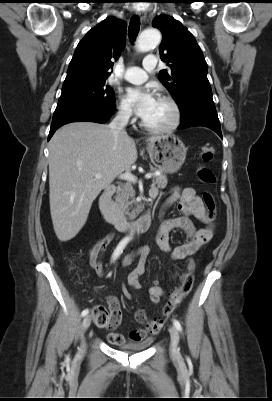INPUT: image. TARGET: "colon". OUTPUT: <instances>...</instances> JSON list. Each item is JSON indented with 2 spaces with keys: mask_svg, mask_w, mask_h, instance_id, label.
I'll list each match as a JSON object with an SVG mask.
<instances>
[{
  "mask_svg": "<svg viewBox=\"0 0 272 401\" xmlns=\"http://www.w3.org/2000/svg\"><path fill=\"white\" fill-rule=\"evenodd\" d=\"M214 147L210 145H204L200 150V159L202 164L198 168V176L200 180L205 184H213L215 182V174L206 165L209 163L214 156ZM203 201L207 209V217L210 221L215 216V200L214 196L210 192L203 194ZM193 283L192 276H188L184 282L170 295L168 301L163 308V315L154 321H148L142 313H138V319L144 323H163L181 302V300L189 293ZM93 319L98 326L109 327L112 323L111 311L106 307H99L93 310Z\"/></svg>",
  "mask_w": 272,
  "mask_h": 401,
  "instance_id": "5ec220e1",
  "label": "colon"
}]
</instances>
